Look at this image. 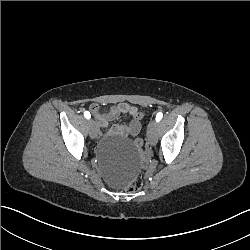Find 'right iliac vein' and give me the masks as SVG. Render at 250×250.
<instances>
[{
    "label": "right iliac vein",
    "instance_id": "obj_1",
    "mask_svg": "<svg viewBox=\"0 0 250 250\" xmlns=\"http://www.w3.org/2000/svg\"><path fill=\"white\" fill-rule=\"evenodd\" d=\"M87 124H88L89 136L92 139H95L96 138V132H97V125H96L95 121L94 120H88Z\"/></svg>",
    "mask_w": 250,
    "mask_h": 250
}]
</instances>
